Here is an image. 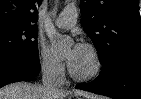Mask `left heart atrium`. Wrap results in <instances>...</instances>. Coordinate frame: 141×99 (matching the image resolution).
Segmentation results:
<instances>
[{
    "instance_id": "39dd6f15",
    "label": "left heart atrium",
    "mask_w": 141,
    "mask_h": 99,
    "mask_svg": "<svg viewBox=\"0 0 141 99\" xmlns=\"http://www.w3.org/2000/svg\"><path fill=\"white\" fill-rule=\"evenodd\" d=\"M83 48H84L83 45L78 42L72 45L67 56V63L70 67H72L76 63V61L78 60L79 56L83 51Z\"/></svg>"
}]
</instances>
